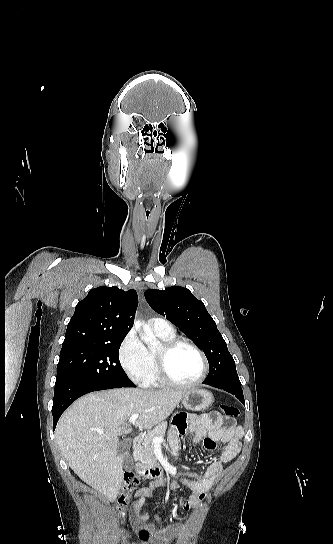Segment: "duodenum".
Wrapping results in <instances>:
<instances>
[{
    "label": "duodenum",
    "mask_w": 333,
    "mask_h": 544,
    "mask_svg": "<svg viewBox=\"0 0 333 544\" xmlns=\"http://www.w3.org/2000/svg\"><path fill=\"white\" fill-rule=\"evenodd\" d=\"M142 442H143V436L141 435L137 436L133 441V450L137 451L142 445ZM136 472L144 478H158L163 475L164 470L160 466L151 467V468L138 467L136 469Z\"/></svg>",
    "instance_id": "duodenum-1"
}]
</instances>
